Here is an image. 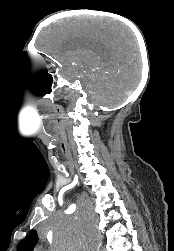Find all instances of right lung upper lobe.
Returning a JSON list of instances; mask_svg holds the SVG:
<instances>
[{"label":"right lung upper lobe","mask_w":174,"mask_h":251,"mask_svg":"<svg viewBox=\"0 0 174 251\" xmlns=\"http://www.w3.org/2000/svg\"><path fill=\"white\" fill-rule=\"evenodd\" d=\"M37 241V232L35 230H31L29 234L19 243L17 251H33Z\"/></svg>","instance_id":"1"}]
</instances>
